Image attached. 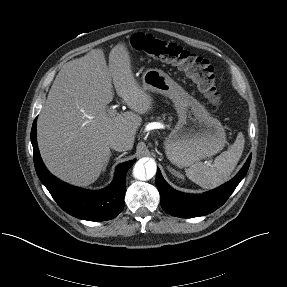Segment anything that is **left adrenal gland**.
<instances>
[{
    "mask_svg": "<svg viewBox=\"0 0 287 287\" xmlns=\"http://www.w3.org/2000/svg\"><path fill=\"white\" fill-rule=\"evenodd\" d=\"M168 170L171 174H173L174 176L178 177V178H181V179H184L183 175L180 174L178 171L168 167Z\"/></svg>",
    "mask_w": 287,
    "mask_h": 287,
    "instance_id": "1",
    "label": "left adrenal gland"
}]
</instances>
